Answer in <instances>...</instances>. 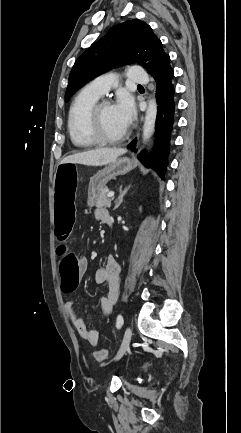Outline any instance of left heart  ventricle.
I'll return each instance as SVG.
<instances>
[{
  "label": "left heart ventricle",
  "instance_id": "obj_1",
  "mask_svg": "<svg viewBox=\"0 0 241 433\" xmlns=\"http://www.w3.org/2000/svg\"><path fill=\"white\" fill-rule=\"evenodd\" d=\"M101 128L108 137H117L126 130L113 105L105 106L102 109Z\"/></svg>",
  "mask_w": 241,
  "mask_h": 433
}]
</instances>
